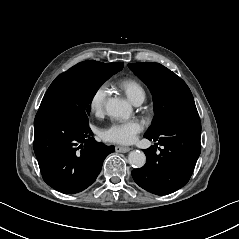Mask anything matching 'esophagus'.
Listing matches in <instances>:
<instances>
[{
	"label": "esophagus",
	"mask_w": 239,
	"mask_h": 239,
	"mask_svg": "<svg viewBox=\"0 0 239 239\" xmlns=\"http://www.w3.org/2000/svg\"><path fill=\"white\" fill-rule=\"evenodd\" d=\"M130 150H131L130 147H121V146H116L115 147V151L120 152V153H127Z\"/></svg>",
	"instance_id": "1"
}]
</instances>
